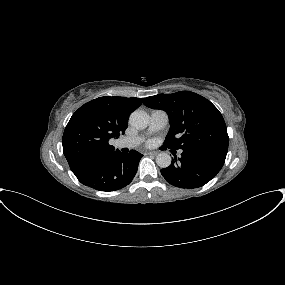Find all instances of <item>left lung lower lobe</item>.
Masks as SVG:
<instances>
[{
	"instance_id": "1",
	"label": "left lung lower lobe",
	"mask_w": 285,
	"mask_h": 285,
	"mask_svg": "<svg viewBox=\"0 0 285 285\" xmlns=\"http://www.w3.org/2000/svg\"><path fill=\"white\" fill-rule=\"evenodd\" d=\"M225 159L226 155L212 151H183L161 174L173 186L199 188L218 174Z\"/></svg>"
}]
</instances>
